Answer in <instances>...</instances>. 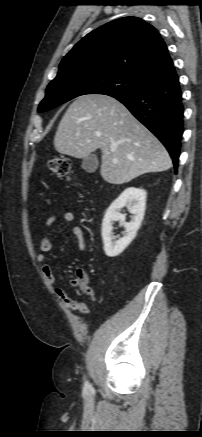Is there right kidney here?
Returning a JSON list of instances; mask_svg holds the SVG:
<instances>
[{
  "mask_svg": "<svg viewBox=\"0 0 202 437\" xmlns=\"http://www.w3.org/2000/svg\"><path fill=\"white\" fill-rule=\"evenodd\" d=\"M128 207L132 214L131 221L125 222V214L120 210ZM146 208V191L140 188L129 187L107 209L102 222V239L104 251L108 257H115L121 254L135 238L144 218ZM120 221L125 228L123 237L116 240L113 236V224Z\"/></svg>",
  "mask_w": 202,
  "mask_h": 437,
  "instance_id": "obj_1",
  "label": "right kidney"
}]
</instances>
